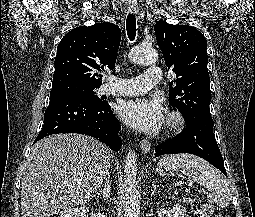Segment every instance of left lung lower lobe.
Here are the masks:
<instances>
[{
	"label": "left lung lower lobe",
	"instance_id": "obj_1",
	"mask_svg": "<svg viewBox=\"0 0 255 217\" xmlns=\"http://www.w3.org/2000/svg\"><path fill=\"white\" fill-rule=\"evenodd\" d=\"M213 120L199 118L186 124V128L155 148L153 156L164 154L190 153L207 160L214 167L226 174L222 155L213 134Z\"/></svg>",
	"mask_w": 255,
	"mask_h": 217
}]
</instances>
